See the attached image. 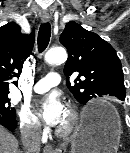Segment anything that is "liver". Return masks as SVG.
Wrapping results in <instances>:
<instances>
[{
	"label": "liver",
	"instance_id": "obj_1",
	"mask_svg": "<svg viewBox=\"0 0 130 153\" xmlns=\"http://www.w3.org/2000/svg\"><path fill=\"white\" fill-rule=\"evenodd\" d=\"M0 153H20L17 139L1 125Z\"/></svg>",
	"mask_w": 130,
	"mask_h": 153
}]
</instances>
